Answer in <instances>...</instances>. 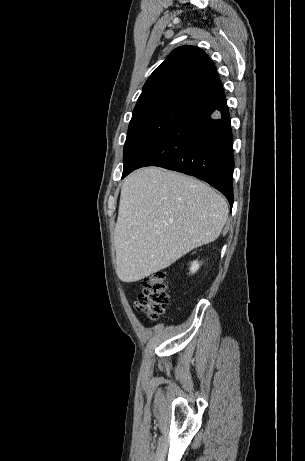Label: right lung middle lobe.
Instances as JSON below:
<instances>
[{
	"label": "right lung middle lobe",
	"instance_id": "obj_1",
	"mask_svg": "<svg viewBox=\"0 0 305 461\" xmlns=\"http://www.w3.org/2000/svg\"><path fill=\"white\" fill-rule=\"evenodd\" d=\"M188 108L180 104H160L133 111L124 145V169L162 140Z\"/></svg>",
	"mask_w": 305,
	"mask_h": 461
}]
</instances>
